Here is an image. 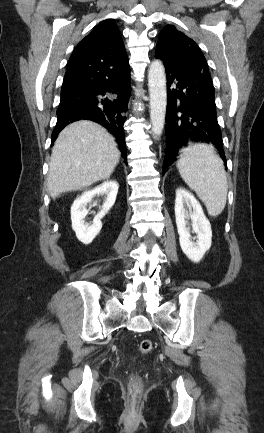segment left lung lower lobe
Masks as SVG:
<instances>
[{"label": "left lung lower lobe", "instance_id": "left-lung-lower-lobe-1", "mask_svg": "<svg viewBox=\"0 0 264 433\" xmlns=\"http://www.w3.org/2000/svg\"><path fill=\"white\" fill-rule=\"evenodd\" d=\"M165 65L167 76L166 155L163 174L176 152L190 142L214 145L226 163L211 77Z\"/></svg>", "mask_w": 264, "mask_h": 433}]
</instances>
